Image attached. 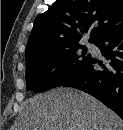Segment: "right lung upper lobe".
<instances>
[{
  "mask_svg": "<svg viewBox=\"0 0 123 130\" xmlns=\"http://www.w3.org/2000/svg\"><path fill=\"white\" fill-rule=\"evenodd\" d=\"M123 26V0H57L38 15L28 40L26 60L79 45L84 33L89 42Z\"/></svg>",
  "mask_w": 123,
  "mask_h": 130,
  "instance_id": "1",
  "label": "right lung upper lobe"
}]
</instances>
